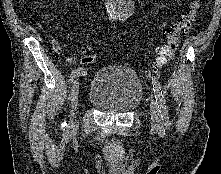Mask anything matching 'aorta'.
Here are the masks:
<instances>
[{
    "label": "aorta",
    "mask_w": 221,
    "mask_h": 174,
    "mask_svg": "<svg viewBox=\"0 0 221 174\" xmlns=\"http://www.w3.org/2000/svg\"><path fill=\"white\" fill-rule=\"evenodd\" d=\"M107 13L113 19L128 18L133 9V0H105Z\"/></svg>",
    "instance_id": "obj_1"
}]
</instances>
